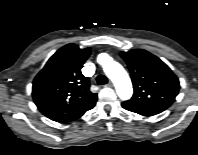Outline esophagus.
I'll return each instance as SVG.
<instances>
[{
    "label": "esophagus",
    "mask_w": 198,
    "mask_h": 155,
    "mask_svg": "<svg viewBox=\"0 0 198 155\" xmlns=\"http://www.w3.org/2000/svg\"><path fill=\"white\" fill-rule=\"evenodd\" d=\"M108 86H109V87H113V82H112V81H109V82H108Z\"/></svg>",
    "instance_id": "34e87169"
}]
</instances>
